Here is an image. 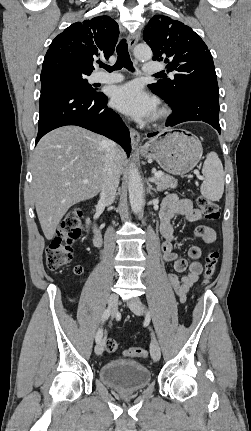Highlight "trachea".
I'll list each match as a JSON object with an SVG mask.
<instances>
[{
    "instance_id": "1",
    "label": "trachea",
    "mask_w": 251,
    "mask_h": 431,
    "mask_svg": "<svg viewBox=\"0 0 251 431\" xmlns=\"http://www.w3.org/2000/svg\"><path fill=\"white\" fill-rule=\"evenodd\" d=\"M117 61L114 66H108L103 63H100L99 66L106 69L108 72H112L113 70H120L123 67L128 69L129 71H134L133 63L130 59V55L128 52V45L126 40L123 39L117 46Z\"/></svg>"
}]
</instances>
